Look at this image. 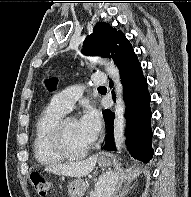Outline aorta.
<instances>
[{"label":"aorta","mask_w":191,"mask_h":197,"mask_svg":"<svg viewBox=\"0 0 191 197\" xmlns=\"http://www.w3.org/2000/svg\"><path fill=\"white\" fill-rule=\"evenodd\" d=\"M93 63L103 65L112 79L116 93V105H115V119H114V138L115 144L118 150L121 149L124 141L125 134V103L123 99V86L120 79V72L118 67L112 62L104 58H93ZM98 197L100 193H97Z\"/></svg>","instance_id":"1"}]
</instances>
